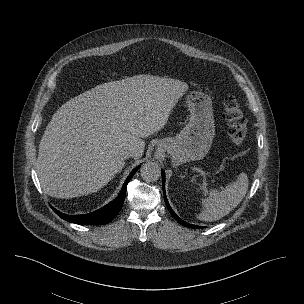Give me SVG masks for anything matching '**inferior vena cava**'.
Masks as SVG:
<instances>
[{"label":"inferior vena cava","instance_id":"1","mask_svg":"<svg viewBox=\"0 0 304 304\" xmlns=\"http://www.w3.org/2000/svg\"><path fill=\"white\" fill-rule=\"evenodd\" d=\"M136 155H137V151L135 149H132V148L126 150L125 153H124L125 158L135 157Z\"/></svg>","mask_w":304,"mask_h":304}]
</instances>
